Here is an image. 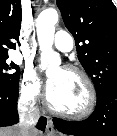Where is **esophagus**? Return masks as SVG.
Returning <instances> with one entry per match:
<instances>
[{
	"label": "esophagus",
	"instance_id": "esophagus-1",
	"mask_svg": "<svg viewBox=\"0 0 117 136\" xmlns=\"http://www.w3.org/2000/svg\"><path fill=\"white\" fill-rule=\"evenodd\" d=\"M46 134L48 136H55L56 135V131H55L51 117H47Z\"/></svg>",
	"mask_w": 117,
	"mask_h": 136
}]
</instances>
